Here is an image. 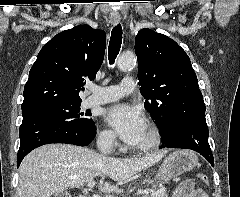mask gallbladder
Listing matches in <instances>:
<instances>
[{
	"instance_id": "obj_1",
	"label": "gallbladder",
	"mask_w": 240,
	"mask_h": 197,
	"mask_svg": "<svg viewBox=\"0 0 240 197\" xmlns=\"http://www.w3.org/2000/svg\"><path fill=\"white\" fill-rule=\"evenodd\" d=\"M55 197H72L68 192H62L55 195Z\"/></svg>"
}]
</instances>
